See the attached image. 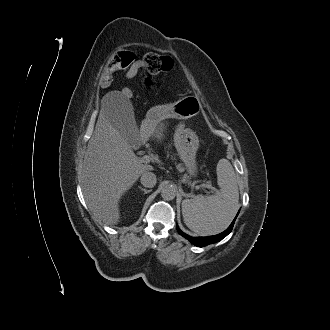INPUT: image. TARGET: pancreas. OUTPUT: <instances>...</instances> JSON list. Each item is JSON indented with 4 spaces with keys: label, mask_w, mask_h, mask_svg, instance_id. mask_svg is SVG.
<instances>
[{
    "label": "pancreas",
    "mask_w": 330,
    "mask_h": 330,
    "mask_svg": "<svg viewBox=\"0 0 330 330\" xmlns=\"http://www.w3.org/2000/svg\"><path fill=\"white\" fill-rule=\"evenodd\" d=\"M178 168H179V169H182V166L179 164V165H178ZM183 182H184V183H188V179H187L186 176L183 177Z\"/></svg>",
    "instance_id": "obj_1"
}]
</instances>
